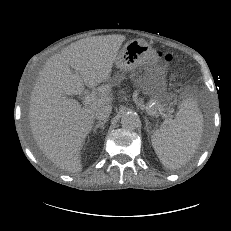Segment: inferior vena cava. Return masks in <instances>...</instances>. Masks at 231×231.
Segmentation results:
<instances>
[{"label":"inferior vena cava","mask_w":231,"mask_h":231,"mask_svg":"<svg viewBox=\"0 0 231 231\" xmlns=\"http://www.w3.org/2000/svg\"><path fill=\"white\" fill-rule=\"evenodd\" d=\"M111 111H112L111 105H103L96 110L95 118L100 121L107 120Z\"/></svg>","instance_id":"inferior-vena-cava-1"}]
</instances>
